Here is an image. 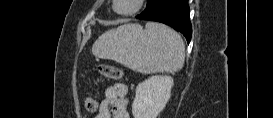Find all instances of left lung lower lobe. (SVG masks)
<instances>
[{
    "mask_svg": "<svg viewBox=\"0 0 273 118\" xmlns=\"http://www.w3.org/2000/svg\"><path fill=\"white\" fill-rule=\"evenodd\" d=\"M189 14L188 0H163L157 9L140 19L169 25L180 31L189 43L192 35Z\"/></svg>",
    "mask_w": 273,
    "mask_h": 118,
    "instance_id": "0a47b994",
    "label": "left lung lower lobe"
}]
</instances>
